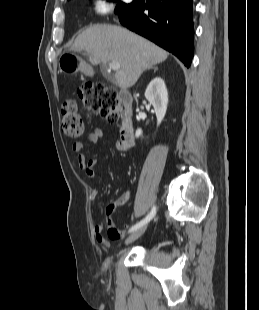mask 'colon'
<instances>
[{
    "instance_id": "5ec220e1",
    "label": "colon",
    "mask_w": 259,
    "mask_h": 310,
    "mask_svg": "<svg viewBox=\"0 0 259 310\" xmlns=\"http://www.w3.org/2000/svg\"><path fill=\"white\" fill-rule=\"evenodd\" d=\"M76 95L91 113L99 115L110 124L118 122L121 100L115 89L101 83H87L77 89ZM61 126L63 132L74 140L84 136V124L76 101L68 99L63 103Z\"/></svg>"
}]
</instances>
